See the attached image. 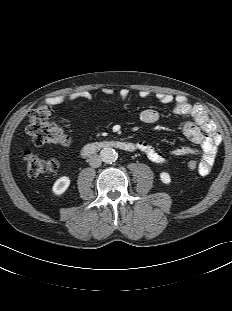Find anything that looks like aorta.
<instances>
[{
	"label": "aorta",
	"instance_id": "1",
	"mask_svg": "<svg viewBox=\"0 0 232 311\" xmlns=\"http://www.w3.org/2000/svg\"><path fill=\"white\" fill-rule=\"evenodd\" d=\"M101 158L107 164H112L118 158L117 152L112 147H105L101 150Z\"/></svg>",
	"mask_w": 232,
	"mask_h": 311
}]
</instances>
